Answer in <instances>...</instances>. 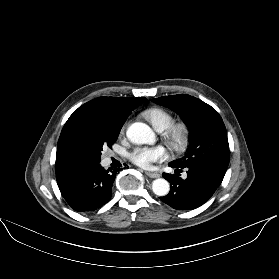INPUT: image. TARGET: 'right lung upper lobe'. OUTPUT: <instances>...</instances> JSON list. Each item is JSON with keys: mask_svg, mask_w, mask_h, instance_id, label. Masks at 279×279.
<instances>
[{"mask_svg": "<svg viewBox=\"0 0 279 279\" xmlns=\"http://www.w3.org/2000/svg\"><path fill=\"white\" fill-rule=\"evenodd\" d=\"M146 98L99 97L73 112L65 123L57 144L56 172L77 164L73 150L76 136L86 127L95 124L123 126L130 112Z\"/></svg>", "mask_w": 279, "mask_h": 279, "instance_id": "right-lung-upper-lobe-1", "label": "right lung upper lobe"}]
</instances>
